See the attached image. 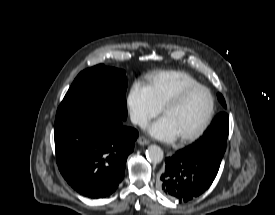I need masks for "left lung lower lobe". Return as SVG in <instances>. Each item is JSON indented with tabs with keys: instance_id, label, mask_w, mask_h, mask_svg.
I'll list each match as a JSON object with an SVG mask.
<instances>
[{
	"instance_id": "obj_1",
	"label": "left lung lower lobe",
	"mask_w": 275,
	"mask_h": 215,
	"mask_svg": "<svg viewBox=\"0 0 275 215\" xmlns=\"http://www.w3.org/2000/svg\"><path fill=\"white\" fill-rule=\"evenodd\" d=\"M220 164L188 154L184 149L165 159L159 184L171 199L190 201L204 193L214 181Z\"/></svg>"
}]
</instances>
